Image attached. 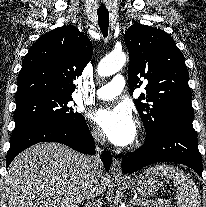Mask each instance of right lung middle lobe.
Here are the masks:
<instances>
[{
	"instance_id": "obj_1",
	"label": "right lung middle lobe",
	"mask_w": 206,
	"mask_h": 207,
	"mask_svg": "<svg viewBox=\"0 0 206 207\" xmlns=\"http://www.w3.org/2000/svg\"><path fill=\"white\" fill-rule=\"evenodd\" d=\"M71 101V96L51 94H37L16 100L12 135L42 125L82 127L85 119L70 106Z\"/></svg>"
}]
</instances>
